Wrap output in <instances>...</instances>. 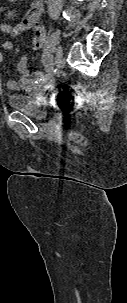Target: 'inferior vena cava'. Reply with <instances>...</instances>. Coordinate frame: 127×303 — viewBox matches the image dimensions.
<instances>
[{"instance_id": "602c4592", "label": "inferior vena cava", "mask_w": 127, "mask_h": 303, "mask_svg": "<svg viewBox=\"0 0 127 303\" xmlns=\"http://www.w3.org/2000/svg\"><path fill=\"white\" fill-rule=\"evenodd\" d=\"M64 0H48V13L52 19L59 17Z\"/></svg>"}]
</instances>
